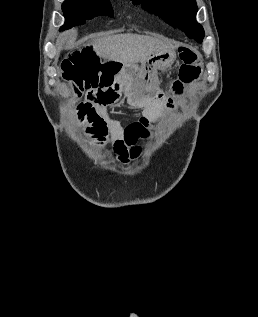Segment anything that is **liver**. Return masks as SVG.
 <instances>
[{"label": "liver", "instance_id": "1", "mask_svg": "<svg viewBox=\"0 0 258 317\" xmlns=\"http://www.w3.org/2000/svg\"><path fill=\"white\" fill-rule=\"evenodd\" d=\"M77 30L71 28L63 34L62 38H70L76 36ZM96 54L108 60H116L123 64H132V62H140L146 60L152 52L158 50H172L176 48L173 40L169 38H155V36H144V34H106V36H98L93 38L91 42Z\"/></svg>", "mask_w": 258, "mask_h": 317}]
</instances>
